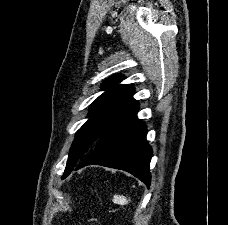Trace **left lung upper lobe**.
I'll use <instances>...</instances> for the list:
<instances>
[{"label": "left lung upper lobe", "mask_w": 228, "mask_h": 225, "mask_svg": "<svg viewBox=\"0 0 228 225\" xmlns=\"http://www.w3.org/2000/svg\"><path fill=\"white\" fill-rule=\"evenodd\" d=\"M121 80V75L108 78L102 85V89L108 90L90 105L89 119L76 133L62 179L92 152L96 142L108 128L139 105L132 97L134 88L128 84L118 85Z\"/></svg>", "instance_id": "obj_1"}]
</instances>
